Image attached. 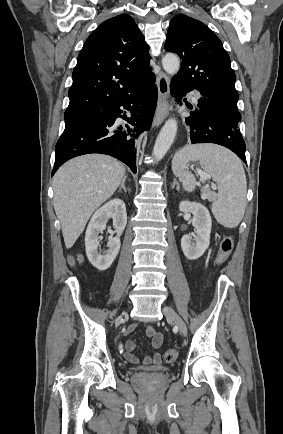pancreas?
I'll return each mask as SVG.
<instances>
[{
  "label": "pancreas",
  "mask_w": 283,
  "mask_h": 434,
  "mask_svg": "<svg viewBox=\"0 0 283 434\" xmlns=\"http://www.w3.org/2000/svg\"><path fill=\"white\" fill-rule=\"evenodd\" d=\"M201 192H202V194H201L202 199H211L212 198L213 192L210 190V188L203 187L201 189Z\"/></svg>",
  "instance_id": "pancreas-1"
}]
</instances>
